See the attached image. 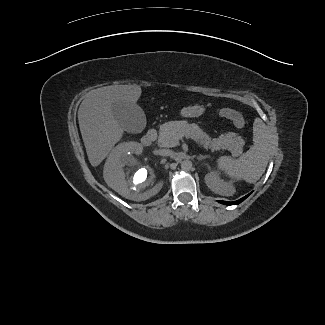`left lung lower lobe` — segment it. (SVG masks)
Listing matches in <instances>:
<instances>
[{"mask_svg": "<svg viewBox=\"0 0 325 325\" xmlns=\"http://www.w3.org/2000/svg\"><path fill=\"white\" fill-rule=\"evenodd\" d=\"M248 196H249V194L237 201H234V202H228V201H218V202L225 204V205H237V204L241 203L243 200H245Z\"/></svg>", "mask_w": 325, "mask_h": 325, "instance_id": "0a47b994", "label": "left lung lower lobe"}]
</instances>
